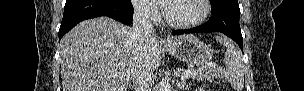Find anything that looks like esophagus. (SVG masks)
Returning <instances> with one entry per match:
<instances>
[{"label":"esophagus","mask_w":304,"mask_h":91,"mask_svg":"<svg viewBox=\"0 0 304 91\" xmlns=\"http://www.w3.org/2000/svg\"><path fill=\"white\" fill-rule=\"evenodd\" d=\"M160 42H161L162 44H168V43H169V40L166 39V38H162Z\"/></svg>","instance_id":"esophagus-1"}]
</instances>
